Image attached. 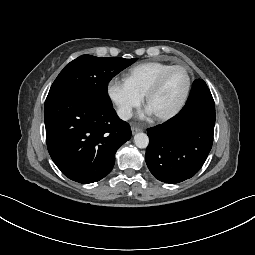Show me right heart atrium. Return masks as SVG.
Returning <instances> with one entry per match:
<instances>
[{"label": "right heart atrium", "mask_w": 255, "mask_h": 255, "mask_svg": "<svg viewBox=\"0 0 255 255\" xmlns=\"http://www.w3.org/2000/svg\"><path fill=\"white\" fill-rule=\"evenodd\" d=\"M107 94L116 108L118 116L127 120L133 110L140 106L143 96L138 94L126 80L113 78L107 86Z\"/></svg>", "instance_id": "d8ad5b80"}]
</instances>
